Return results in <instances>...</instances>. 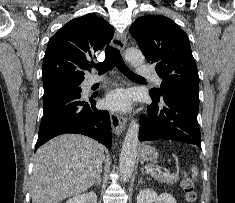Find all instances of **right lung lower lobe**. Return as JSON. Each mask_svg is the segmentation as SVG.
I'll list each match as a JSON object with an SVG mask.
<instances>
[{"mask_svg":"<svg viewBox=\"0 0 235 203\" xmlns=\"http://www.w3.org/2000/svg\"><path fill=\"white\" fill-rule=\"evenodd\" d=\"M95 97L85 98L81 92H71L43 103L35 150L51 138L64 133L89 136L111 148V123L109 113L97 110Z\"/></svg>","mask_w":235,"mask_h":203,"instance_id":"right-lung-lower-lobe-1","label":"right lung lower lobe"}]
</instances>
